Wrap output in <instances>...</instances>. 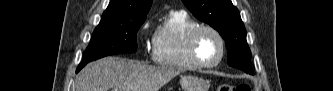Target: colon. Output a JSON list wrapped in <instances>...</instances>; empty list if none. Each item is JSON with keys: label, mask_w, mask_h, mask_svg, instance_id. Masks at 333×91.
I'll list each match as a JSON object with an SVG mask.
<instances>
[{"label": "colon", "mask_w": 333, "mask_h": 91, "mask_svg": "<svg viewBox=\"0 0 333 91\" xmlns=\"http://www.w3.org/2000/svg\"><path fill=\"white\" fill-rule=\"evenodd\" d=\"M251 88L248 84H239V85H229L223 84L218 88V91H250Z\"/></svg>", "instance_id": "5ec220e1"}]
</instances>
